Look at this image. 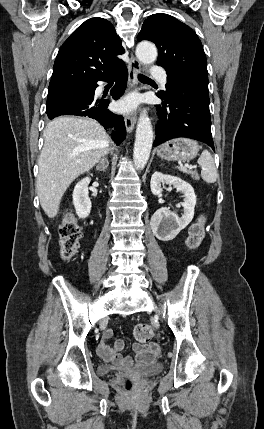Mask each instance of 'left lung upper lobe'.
<instances>
[{
  "mask_svg": "<svg viewBox=\"0 0 264 429\" xmlns=\"http://www.w3.org/2000/svg\"><path fill=\"white\" fill-rule=\"evenodd\" d=\"M137 39L156 44L159 52L157 64L165 69L168 78L208 92L205 52L189 26L168 14H152L144 21ZM168 87L166 84V90ZM161 93L166 94V91Z\"/></svg>",
  "mask_w": 264,
  "mask_h": 429,
  "instance_id": "left-lung-upper-lobe-1",
  "label": "left lung upper lobe"
}]
</instances>
